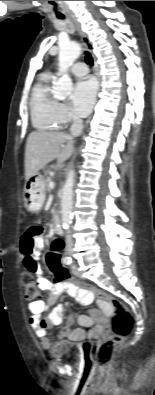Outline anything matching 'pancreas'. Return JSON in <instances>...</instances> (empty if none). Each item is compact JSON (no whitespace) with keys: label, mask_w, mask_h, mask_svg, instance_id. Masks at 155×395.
Here are the masks:
<instances>
[{"label":"pancreas","mask_w":155,"mask_h":395,"mask_svg":"<svg viewBox=\"0 0 155 395\" xmlns=\"http://www.w3.org/2000/svg\"><path fill=\"white\" fill-rule=\"evenodd\" d=\"M51 181H52V179H51L49 176H47V177L44 179L45 190L48 191V192L51 190L50 187H49V182H51Z\"/></svg>","instance_id":"pancreas-1"}]
</instances>
